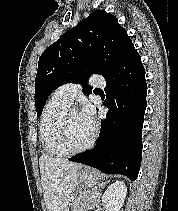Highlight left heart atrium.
I'll list each match as a JSON object with an SVG mask.
<instances>
[{"label":"left heart atrium","instance_id":"obj_1","mask_svg":"<svg viewBox=\"0 0 178 211\" xmlns=\"http://www.w3.org/2000/svg\"><path fill=\"white\" fill-rule=\"evenodd\" d=\"M82 120L91 128L95 127L94 110L89 104H85L80 112Z\"/></svg>","mask_w":178,"mask_h":211}]
</instances>
